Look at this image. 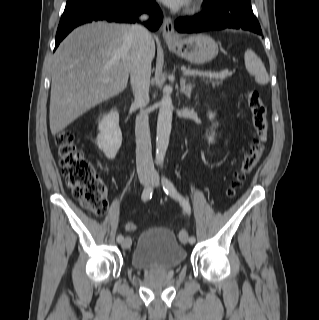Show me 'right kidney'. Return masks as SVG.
<instances>
[{
	"instance_id": "ca27d5eb",
	"label": "right kidney",
	"mask_w": 319,
	"mask_h": 320,
	"mask_svg": "<svg viewBox=\"0 0 319 320\" xmlns=\"http://www.w3.org/2000/svg\"><path fill=\"white\" fill-rule=\"evenodd\" d=\"M97 146L108 159H114L122 144V133L119 127V113L110 111L98 124Z\"/></svg>"
}]
</instances>
